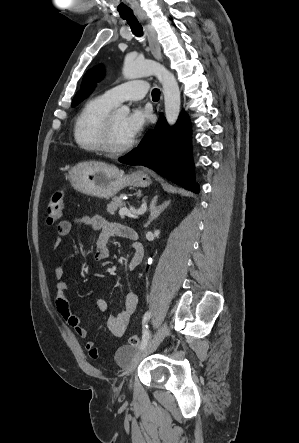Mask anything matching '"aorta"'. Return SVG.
Wrapping results in <instances>:
<instances>
[{
	"instance_id": "1",
	"label": "aorta",
	"mask_w": 299,
	"mask_h": 443,
	"mask_svg": "<svg viewBox=\"0 0 299 443\" xmlns=\"http://www.w3.org/2000/svg\"><path fill=\"white\" fill-rule=\"evenodd\" d=\"M124 78L136 79L145 76L155 75L162 84L165 117L170 126H173L180 113V90L176 78L163 65L151 60H138L126 56L122 69ZM130 113L128 106H121L117 109V114L127 116Z\"/></svg>"
}]
</instances>
